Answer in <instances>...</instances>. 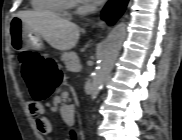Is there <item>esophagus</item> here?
<instances>
[{
  "mask_svg": "<svg viewBox=\"0 0 182 140\" xmlns=\"http://www.w3.org/2000/svg\"><path fill=\"white\" fill-rule=\"evenodd\" d=\"M99 26L103 27L104 26V22H100Z\"/></svg>",
  "mask_w": 182,
  "mask_h": 140,
  "instance_id": "1",
  "label": "esophagus"
}]
</instances>
